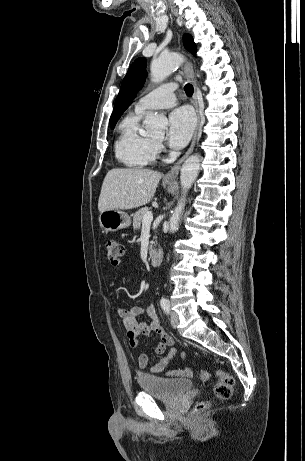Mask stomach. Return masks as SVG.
<instances>
[{
    "mask_svg": "<svg viewBox=\"0 0 305 461\" xmlns=\"http://www.w3.org/2000/svg\"><path fill=\"white\" fill-rule=\"evenodd\" d=\"M99 223L104 230L115 232L120 229L128 228L131 225V218L124 211L119 209H111L100 213Z\"/></svg>",
    "mask_w": 305,
    "mask_h": 461,
    "instance_id": "stomach-1",
    "label": "stomach"
}]
</instances>
